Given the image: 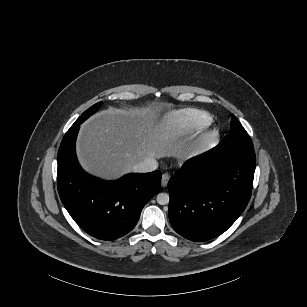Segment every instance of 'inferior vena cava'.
<instances>
[{
  "label": "inferior vena cava",
  "mask_w": 307,
  "mask_h": 307,
  "mask_svg": "<svg viewBox=\"0 0 307 307\" xmlns=\"http://www.w3.org/2000/svg\"><path fill=\"white\" fill-rule=\"evenodd\" d=\"M158 163L154 158H147L143 162L133 166L132 171L138 173L151 172L156 170Z\"/></svg>",
  "instance_id": "1"
}]
</instances>
